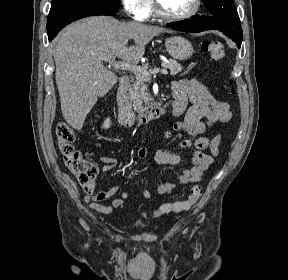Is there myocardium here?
<instances>
[{
  "label": "myocardium",
  "instance_id": "obj_1",
  "mask_svg": "<svg viewBox=\"0 0 288 280\" xmlns=\"http://www.w3.org/2000/svg\"><path fill=\"white\" fill-rule=\"evenodd\" d=\"M201 4L202 0H195L193 8L187 13L182 15H170L163 10L159 0H154L156 14L164 20L173 22L184 21L194 17L199 12Z\"/></svg>",
  "mask_w": 288,
  "mask_h": 280
}]
</instances>
